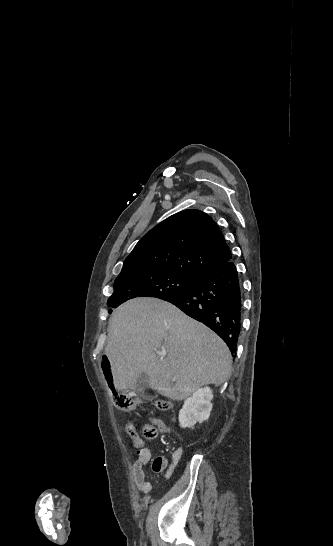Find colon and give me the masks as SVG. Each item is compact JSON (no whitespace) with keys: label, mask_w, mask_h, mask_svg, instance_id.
<instances>
[{"label":"colon","mask_w":333,"mask_h":546,"mask_svg":"<svg viewBox=\"0 0 333 546\" xmlns=\"http://www.w3.org/2000/svg\"><path fill=\"white\" fill-rule=\"evenodd\" d=\"M101 364L104 378L108 379L105 383L108 385V389L112 391L115 406L122 411H132L136 409L140 403V398L132 393L120 392L116 389L114 380L110 379L112 374L109 372L110 360L107 356L103 357ZM153 406L159 410H166L171 406V403L168 400H157L153 402ZM126 431L129 435H133L136 430L132 423H128L126 425ZM142 435L148 440L155 439L157 437V428L150 423L144 424L142 427Z\"/></svg>","instance_id":"5ec220e1"}]
</instances>
